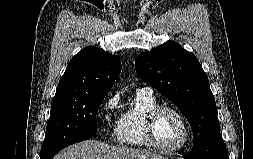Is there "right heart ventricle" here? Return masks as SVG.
<instances>
[{
	"label": "right heart ventricle",
	"instance_id": "1",
	"mask_svg": "<svg viewBox=\"0 0 253 159\" xmlns=\"http://www.w3.org/2000/svg\"><path fill=\"white\" fill-rule=\"evenodd\" d=\"M157 105L158 101L152 93L136 92L135 104L124 111L115 127L118 144L135 148L147 147L143 123L147 113Z\"/></svg>",
	"mask_w": 253,
	"mask_h": 159
}]
</instances>
